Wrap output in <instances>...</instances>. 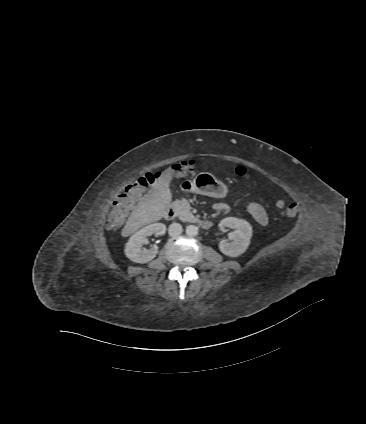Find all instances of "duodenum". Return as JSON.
<instances>
[{
    "mask_svg": "<svg viewBox=\"0 0 366 424\" xmlns=\"http://www.w3.org/2000/svg\"><path fill=\"white\" fill-rule=\"evenodd\" d=\"M176 216L175 208L170 205L165 210V218L166 219H173ZM199 226L205 230L210 229L212 226V223L209 220H200L198 222Z\"/></svg>",
    "mask_w": 366,
    "mask_h": 424,
    "instance_id": "1",
    "label": "duodenum"
}]
</instances>
